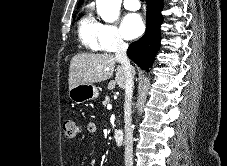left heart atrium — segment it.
<instances>
[{"label": "left heart atrium", "mask_w": 227, "mask_h": 166, "mask_svg": "<svg viewBox=\"0 0 227 166\" xmlns=\"http://www.w3.org/2000/svg\"><path fill=\"white\" fill-rule=\"evenodd\" d=\"M121 31L125 38L134 39L144 31V23L139 14L131 13L126 15L121 24Z\"/></svg>", "instance_id": "obj_1"}]
</instances>
